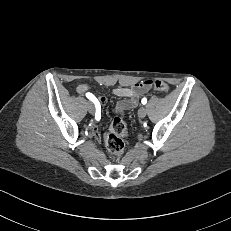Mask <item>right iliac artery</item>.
<instances>
[{"label":"right iliac artery","mask_w":231,"mask_h":231,"mask_svg":"<svg viewBox=\"0 0 231 231\" xmlns=\"http://www.w3.org/2000/svg\"><path fill=\"white\" fill-rule=\"evenodd\" d=\"M86 97L90 99L92 102H94L95 107H96L95 119L99 121L101 118V106L99 102L97 101L96 97L91 93H86Z\"/></svg>","instance_id":"82829eb1"}]
</instances>
